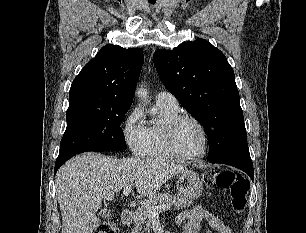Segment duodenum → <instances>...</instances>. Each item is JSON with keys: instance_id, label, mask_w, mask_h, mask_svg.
I'll return each mask as SVG.
<instances>
[{"instance_id": "410a0bca", "label": "duodenum", "mask_w": 306, "mask_h": 233, "mask_svg": "<svg viewBox=\"0 0 306 233\" xmlns=\"http://www.w3.org/2000/svg\"><path fill=\"white\" fill-rule=\"evenodd\" d=\"M133 220V213L130 209L125 208L121 212V221L124 225H130Z\"/></svg>"}]
</instances>
